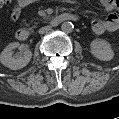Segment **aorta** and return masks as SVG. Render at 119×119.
<instances>
[{"mask_svg":"<svg viewBox=\"0 0 119 119\" xmlns=\"http://www.w3.org/2000/svg\"><path fill=\"white\" fill-rule=\"evenodd\" d=\"M73 28H74V26L71 22H63L62 25H61V30L64 33L72 32Z\"/></svg>","mask_w":119,"mask_h":119,"instance_id":"aorta-1","label":"aorta"}]
</instances>
